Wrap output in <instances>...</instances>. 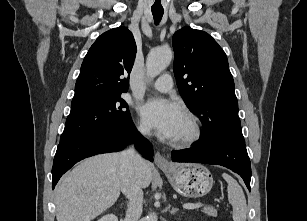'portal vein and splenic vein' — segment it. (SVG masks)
I'll return each mask as SVG.
<instances>
[{"label":"portal vein and splenic vein","instance_id":"obj_1","mask_svg":"<svg viewBox=\"0 0 307 221\" xmlns=\"http://www.w3.org/2000/svg\"><path fill=\"white\" fill-rule=\"evenodd\" d=\"M202 206V204H194V203H187L183 205L184 209H196V208H200Z\"/></svg>","mask_w":307,"mask_h":221}]
</instances>
